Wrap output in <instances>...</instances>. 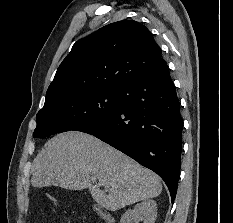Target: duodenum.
<instances>
[{"mask_svg":"<svg viewBox=\"0 0 233 223\" xmlns=\"http://www.w3.org/2000/svg\"><path fill=\"white\" fill-rule=\"evenodd\" d=\"M94 211L97 213L98 216H100L102 219H104L107 223L114 222L112 216L108 212L103 210V208L100 207L99 205L94 206Z\"/></svg>","mask_w":233,"mask_h":223,"instance_id":"1","label":"duodenum"}]
</instances>
